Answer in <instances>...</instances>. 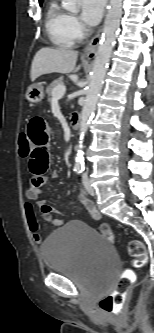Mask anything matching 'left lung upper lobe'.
<instances>
[{
	"mask_svg": "<svg viewBox=\"0 0 154 333\" xmlns=\"http://www.w3.org/2000/svg\"><path fill=\"white\" fill-rule=\"evenodd\" d=\"M43 0H39L40 5H42Z\"/></svg>",
	"mask_w": 154,
	"mask_h": 333,
	"instance_id": "obj_1",
	"label": "left lung upper lobe"
}]
</instances>
